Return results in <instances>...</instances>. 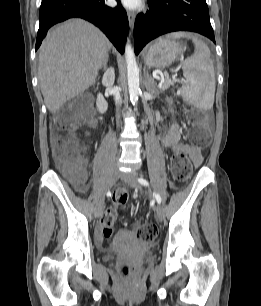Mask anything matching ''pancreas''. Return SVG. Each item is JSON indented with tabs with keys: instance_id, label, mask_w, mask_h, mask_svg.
Masks as SVG:
<instances>
[{
	"instance_id": "cf45deb5",
	"label": "pancreas",
	"mask_w": 261,
	"mask_h": 306,
	"mask_svg": "<svg viewBox=\"0 0 261 306\" xmlns=\"http://www.w3.org/2000/svg\"><path fill=\"white\" fill-rule=\"evenodd\" d=\"M171 82H169L167 79L165 80L164 84L162 87H160L159 89H156L153 87V93H159V92H162L164 91L166 88H168L170 86Z\"/></svg>"
}]
</instances>
